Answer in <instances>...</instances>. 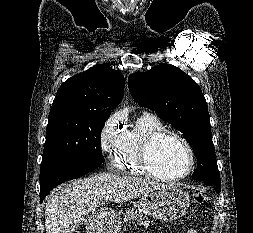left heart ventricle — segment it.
Listing matches in <instances>:
<instances>
[{"mask_svg":"<svg viewBox=\"0 0 253 233\" xmlns=\"http://www.w3.org/2000/svg\"><path fill=\"white\" fill-rule=\"evenodd\" d=\"M151 165L160 175L178 176L189 167V154L186 148L171 138L159 141L151 154Z\"/></svg>","mask_w":253,"mask_h":233,"instance_id":"obj_1","label":"left heart ventricle"}]
</instances>
